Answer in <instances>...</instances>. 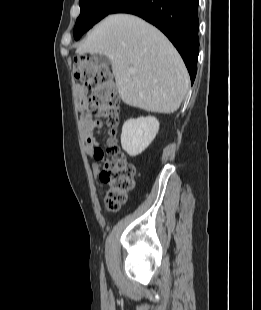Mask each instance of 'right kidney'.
<instances>
[{"instance_id": "1", "label": "right kidney", "mask_w": 261, "mask_h": 310, "mask_svg": "<svg viewBox=\"0 0 261 310\" xmlns=\"http://www.w3.org/2000/svg\"><path fill=\"white\" fill-rule=\"evenodd\" d=\"M159 130V121L152 116L127 120L122 127L121 145L130 155L142 153L153 141Z\"/></svg>"}]
</instances>
